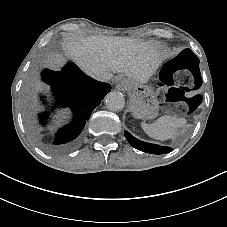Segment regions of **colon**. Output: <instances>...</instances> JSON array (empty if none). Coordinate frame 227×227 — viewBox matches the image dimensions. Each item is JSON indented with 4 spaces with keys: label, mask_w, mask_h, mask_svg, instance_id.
I'll return each mask as SVG.
<instances>
[{
    "label": "colon",
    "mask_w": 227,
    "mask_h": 227,
    "mask_svg": "<svg viewBox=\"0 0 227 227\" xmlns=\"http://www.w3.org/2000/svg\"><path fill=\"white\" fill-rule=\"evenodd\" d=\"M201 83L199 60L190 50H184L167 59L159 71V96L162 106L169 112L189 113L200 102L193 95Z\"/></svg>",
    "instance_id": "5ec220e1"
}]
</instances>
